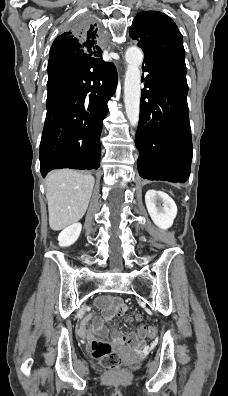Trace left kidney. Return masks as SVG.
Returning a JSON list of instances; mask_svg holds the SVG:
<instances>
[{
  "label": "left kidney",
  "mask_w": 228,
  "mask_h": 396,
  "mask_svg": "<svg viewBox=\"0 0 228 396\" xmlns=\"http://www.w3.org/2000/svg\"><path fill=\"white\" fill-rule=\"evenodd\" d=\"M148 213L156 226L166 230L173 225L177 206L173 199L161 191L148 190L145 195Z\"/></svg>",
  "instance_id": "obj_1"
}]
</instances>
